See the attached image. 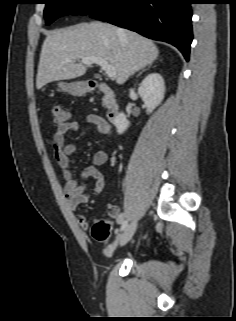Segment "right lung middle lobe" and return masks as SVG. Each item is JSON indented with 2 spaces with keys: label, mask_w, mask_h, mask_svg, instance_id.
I'll return each mask as SVG.
<instances>
[{
  "label": "right lung middle lobe",
  "mask_w": 236,
  "mask_h": 321,
  "mask_svg": "<svg viewBox=\"0 0 236 321\" xmlns=\"http://www.w3.org/2000/svg\"><path fill=\"white\" fill-rule=\"evenodd\" d=\"M111 0H45L44 17L51 24L64 15H90L101 9Z\"/></svg>",
  "instance_id": "1"
}]
</instances>
